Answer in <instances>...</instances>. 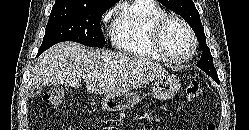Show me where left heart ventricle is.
<instances>
[{
    "label": "left heart ventricle",
    "instance_id": "1",
    "mask_svg": "<svg viewBox=\"0 0 249 130\" xmlns=\"http://www.w3.org/2000/svg\"><path fill=\"white\" fill-rule=\"evenodd\" d=\"M164 46L167 52L176 58L188 55L191 49V40L180 23L171 22L167 26L164 33Z\"/></svg>",
    "mask_w": 249,
    "mask_h": 130
}]
</instances>
